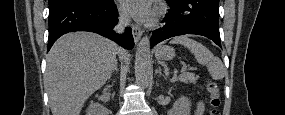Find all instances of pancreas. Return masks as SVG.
<instances>
[{
	"mask_svg": "<svg viewBox=\"0 0 285 115\" xmlns=\"http://www.w3.org/2000/svg\"><path fill=\"white\" fill-rule=\"evenodd\" d=\"M197 79H198V77L195 76V74L191 73V72H184V73L180 74L177 78V80L184 82L186 84H189V83L195 84Z\"/></svg>",
	"mask_w": 285,
	"mask_h": 115,
	"instance_id": "pancreas-1",
	"label": "pancreas"
}]
</instances>
